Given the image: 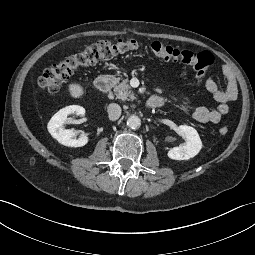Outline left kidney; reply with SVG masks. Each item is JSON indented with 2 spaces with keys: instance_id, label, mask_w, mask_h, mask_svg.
Returning <instances> with one entry per match:
<instances>
[{
  "instance_id": "1",
  "label": "left kidney",
  "mask_w": 255,
  "mask_h": 255,
  "mask_svg": "<svg viewBox=\"0 0 255 255\" xmlns=\"http://www.w3.org/2000/svg\"><path fill=\"white\" fill-rule=\"evenodd\" d=\"M179 133L186 139L184 146L174 147L167 153L168 157L173 160H188L196 156L201 148L202 142L198 132L191 126L180 125Z\"/></svg>"
}]
</instances>
